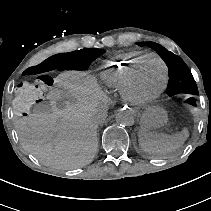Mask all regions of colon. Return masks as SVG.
<instances>
[{
	"instance_id": "1",
	"label": "colon",
	"mask_w": 211,
	"mask_h": 211,
	"mask_svg": "<svg viewBox=\"0 0 211 211\" xmlns=\"http://www.w3.org/2000/svg\"><path fill=\"white\" fill-rule=\"evenodd\" d=\"M53 84L54 79L48 74L19 83L13 100L14 112L19 116H27L35 105L43 101Z\"/></svg>"
}]
</instances>
